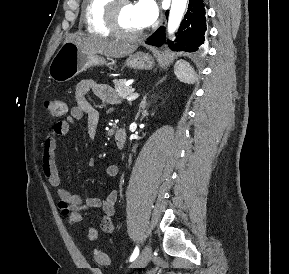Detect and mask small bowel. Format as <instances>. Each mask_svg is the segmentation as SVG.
I'll return each mask as SVG.
<instances>
[{
    "mask_svg": "<svg viewBox=\"0 0 289 274\" xmlns=\"http://www.w3.org/2000/svg\"><path fill=\"white\" fill-rule=\"evenodd\" d=\"M90 93L108 103L117 101V97L110 86L92 79L80 81L76 86L75 105L71 108L70 115L65 120L57 122L43 142L42 172L49 184L55 189L58 197V207L62 214L68 218L70 225L82 222L87 211L100 209L102 211L100 227L104 232L111 234L114 232L112 217L115 213V203L118 198L117 190L110 191L104 199L97 197L82 198L62 186L56 163L57 141L69 132L70 125L74 121L80 120L86 115L88 137L91 140L96 137L99 114L88 99ZM118 174L119 167L117 165L110 164L107 166L106 175L108 177L114 178ZM97 237L98 230L95 227H90L87 232V239L94 241Z\"/></svg>",
    "mask_w": 289,
    "mask_h": 274,
    "instance_id": "1",
    "label": "small bowel"
}]
</instances>
